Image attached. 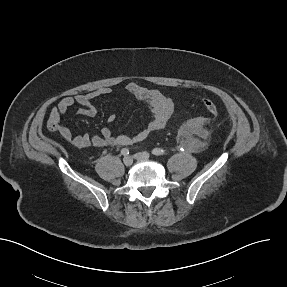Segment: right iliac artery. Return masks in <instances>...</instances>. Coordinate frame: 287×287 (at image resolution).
<instances>
[{"label":"right iliac artery","instance_id":"right-iliac-artery-1","mask_svg":"<svg viewBox=\"0 0 287 287\" xmlns=\"http://www.w3.org/2000/svg\"><path fill=\"white\" fill-rule=\"evenodd\" d=\"M121 154L124 155V156L129 155V149L123 148V149L121 150Z\"/></svg>","mask_w":287,"mask_h":287}]
</instances>
